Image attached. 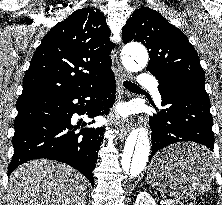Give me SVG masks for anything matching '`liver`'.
Masks as SVG:
<instances>
[{"instance_id":"1","label":"liver","mask_w":222,"mask_h":205,"mask_svg":"<svg viewBox=\"0 0 222 205\" xmlns=\"http://www.w3.org/2000/svg\"><path fill=\"white\" fill-rule=\"evenodd\" d=\"M7 192V205H83L87 184L74 168L39 159L12 172Z\"/></svg>"}]
</instances>
